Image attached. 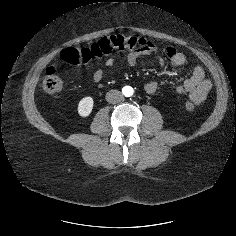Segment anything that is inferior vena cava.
Returning a JSON list of instances; mask_svg holds the SVG:
<instances>
[{
    "label": "inferior vena cava",
    "instance_id": "inferior-vena-cava-1",
    "mask_svg": "<svg viewBox=\"0 0 236 236\" xmlns=\"http://www.w3.org/2000/svg\"><path fill=\"white\" fill-rule=\"evenodd\" d=\"M123 99V95L120 91L118 90H110L106 94V101L108 103H118Z\"/></svg>",
    "mask_w": 236,
    "mask_h": 236
}]
</instances>
